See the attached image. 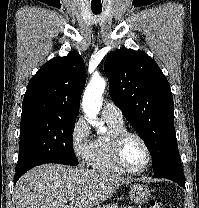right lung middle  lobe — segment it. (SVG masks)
<instances>
[{
	"label": "right lung middle lobe",
	"mask_w": 199,
	"mask_h": 208,
	"mask_svg": "<svg viewBox=\"0 0 199 208\" xmlns=\"http://www.w3.org/2000/svg\"><path fill=\"white\" fill-rule=\"evenodd\" d=\"M76 117L44 113L21 115L19 157L15 172L45 163L78 165L73 151Z\"/></svg>",
	"instance_id": "right-lung-middle-lobe-1"
}]
</instances>
